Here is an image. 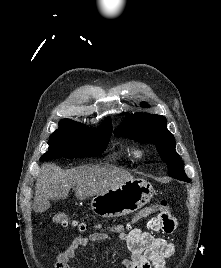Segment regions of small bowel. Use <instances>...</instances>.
Segmentation results:
<instances>
[{"mask_svg":"<svg viewBox=\"0 0 221 268\" xmlns=\"http://www.w3.org/2000/svg\"><path fill=\"white\" fill-rule=\"evenodd\" d=\"M177 225L171 215H157L147 222V230L113 228L115 235L107 232H93L75 238L64 250L56 255L55 268H78L72 264L81 248L99 241L117 240L127 250L129 257L121 262L123 268H166V258L175 254V245L154 235L156 232L172 233Z\"/></svg>","mask_w":221,"mask_h":268,"instance_id":"obj_1","label":"small bowel"}]
</instances>
